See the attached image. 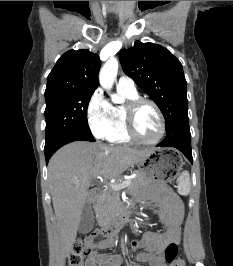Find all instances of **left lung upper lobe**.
Returning <instances> with one entry per match:
<instances>
[{
	"mask_svg": "<svg viewBox=\"0 0 233 266\" xmlns=\"http://www.w3.org/2000/svg\"><path fill=\"white\" fill-rule=\"evenodd\" d=\"M121 66L126 75L151 97L166 121V128L188 111L187 82L182 64L163 46L137 41L121 50Z\"/></svg>",
	"mask_w": 233,
	"mask_h": 266,
	"instance_id": "1",
	"label": "left lung upper lobe"
}]
</instances>
